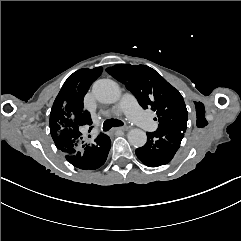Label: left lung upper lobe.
Returning a JSON list of instances; mask_svg holds the SVG:
<instances>
[{"instance_id":"obj_1","label":"left lung upper lobe","mask_w":241,"mask_h":241,"mask_svg":"<svg viewBox=\"0 0 241 241\" xmlns=\"http://www.w3.org/2000/svg\"><path fill=\"white\" fill-rule=\"evenodd\" d=\"M106 71L125 84L144 109L156 111L159 127L187 123L182 95L154 69L146 65L117 64Z\"/></svg>"}]
</instances>
